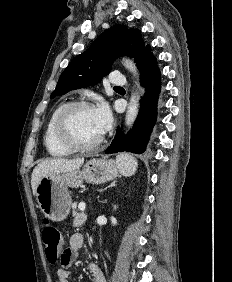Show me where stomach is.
I'll use <instances>...</instances> for the list:
<instances>
[{
    "instance_id": "obj_1",
    "label": "stomach",
    "mask_w": 232,
    "mask_h": 282,
    "mask_svg": "<svg viewBox=\"0 0 232 282\" xmlns=\"http://www.w3.org/2000/svg\"><path fill=\"white\" fill-rule=\"evenodd\" d=\"M119 174L114 160L93 158L82 169L55 173L43 177L36 189L37 202L42 213L52 221L64 220L71 209L68 187L77 188L84 181L101 184L113 180Z\"/></svg>"
}]
</instances>
